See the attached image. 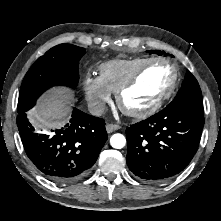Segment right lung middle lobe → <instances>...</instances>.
Segmentation results:
<instances>
[{"mask_svg": "<svg viewBox=\"0 0 221 221\" xmlns=\"http://www.w3.org/2000/svg\"><path fill=\"white\" fill-rule=\"evenodd\" d=\"M85 49L60 44L40 57L26 73L18 99V114L31 109L40 95L53 86L74 89L79 80L78 63Z\"/></svg>", "mask_w": 221, "mask_h": 221, "instance_id": "right-lung-middle-lobe-1", "label": "right lung middle lobe"}]
</instances>
